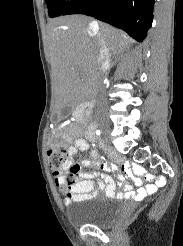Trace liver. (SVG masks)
<instances>
[{
    "label": "liver",
    "mask_w": 183,
    "mask_h": 246,
    "mask_svg": "<svg viewBox=\"0 0 183 246\" xmlns=\"http://www.w3.org/2000/svg\"><path fill=\"white\" fill-rule=\"evenodd\" d=\"M104 39L111 56L122 53L132 42L123 31L100 23L91 25L84 15H71L48 23V50L57 109L85 99L99 81L98 57Z\"/></svg>",
    "instance_id": "liver-1"
}]
</instances>
